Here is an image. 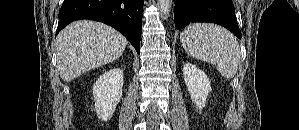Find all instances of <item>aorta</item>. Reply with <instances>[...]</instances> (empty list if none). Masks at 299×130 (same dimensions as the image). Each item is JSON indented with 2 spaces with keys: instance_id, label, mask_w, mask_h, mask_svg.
<instances>
[{
  "instance_id": "obj_1",
  "label": "aorta",
  "mask_w": 299,
  "mask_h": 130,
  "mask_svg": "<svg viewBox=\"0 0 299 130\" xmlns=\"http://www.w3.org/2000/svg\"><path fill=\"white\" fill-rule=\"evenodd\" d=\"M171 0H158L160 10L166 19L169 15L170 6H171Z\"/></svg>"
}]
</instances>
